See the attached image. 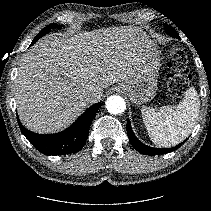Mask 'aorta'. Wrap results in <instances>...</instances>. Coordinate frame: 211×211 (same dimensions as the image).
I'll list each match as a JSON object with an SVG mask.
<instances>
[{"mask_svg": "<svg viewBox=\"0 0 211 211\" xmlns=\"http://www.w3.org/2000/svg\"><path fill=\"white\" fill-rule=\"evenodd\" d=\"M106 109L111 113V114H121L125 111L126 109V104L125 101L122 97L120 96H110L106 100Z\"/></svg>", "mask_w": 211, "mask_h": 211, "instance_id": "1", "label": "aorta"}]
</instances>
